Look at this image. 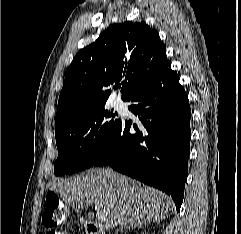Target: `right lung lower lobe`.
I'll return each instance as SVG.
<instances>
[{"label":"right lung lower lobe","instance_id":"98d812e1","mask_svg":"<svg viewBox=\"0 0 241 234\" xmlns=\"http://www.w3.org/2000/svg\"><path fill=\"white\" fill-rule=\"evenodd\" d=\"M129 110L139 117L120 121L108 146L92 166L110 165L170 195L179 211L188 175L190 114L188 96L169 63L132 98ZM133 126L135 133H130Z\"/></svg>","mask_w":241,"mask_h":234}]
</instances>
